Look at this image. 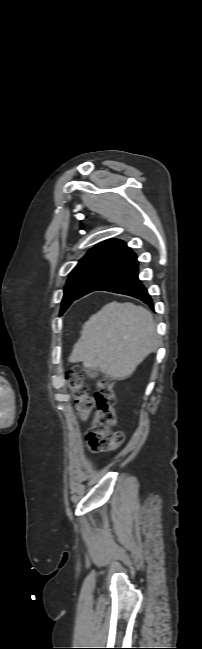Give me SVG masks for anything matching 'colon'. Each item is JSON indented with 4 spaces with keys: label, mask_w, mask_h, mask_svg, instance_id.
I'll use <instances>...</instances> for the list:
<instances>
[{
    "label": "colon",
    "mask_w": 202,
    "mask_h": 649,
    "mask_svg": "<svg viewBox=\"0 0 202 649\" xmlns=\"http://www.w3.org/2000/svg\"><path fill=\"white\" fill-rule=\"evenodd\" d=\"M70 390L75 400L76 413L84 421L96 406V412L86 436L89 448L95 452H108L119 447L124 435L113 431L117 423L115 412V384L110 378L99 381L94 398L89 396L81 376L74 372L67 374Z\"/></svg>",
    "instance_id": "obj_1"
}]
</instances>
